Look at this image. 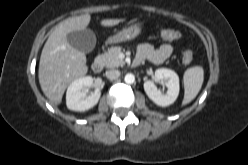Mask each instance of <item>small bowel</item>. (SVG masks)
<instances>
[{"label":"small bowel","instance_id":"obj_1","mask_svg":"<svg viewBox=\"0 0 248 165\" xmlns=\"http://www.w3.org/2000/svg\"><path fill=\"white\" fill-rule=\"evenodd\" d=\"M173 50V46L169 43L162 44L158 48L149 43H143L138 47L137 57H142L143 60L158 65L168 59L172 55Z\"/></svg>","mask_w":248,"mask_h":165}]
</instances>
